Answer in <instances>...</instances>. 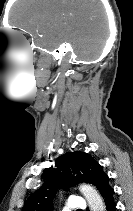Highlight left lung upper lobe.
<instances>
[{"instance_id": "5c2ea615", "label": "left lung upper lobe", "mask_w": 133, "mask_h": 211, "mask_svg": "<svg viewBox=\"0 0 133 211\" xmlns=\"http://www.w3.org/2000/svg\"><path fill=\"white\" fill-rule=\"evenodd\" d=\"M46 182L31 194L22 211H53V199L58 189L86 182L93 184L102 194L109 185V177L102 166L88 153L68 152L55 160V168L46 169Z\"/></svg>"}]
</instances>
